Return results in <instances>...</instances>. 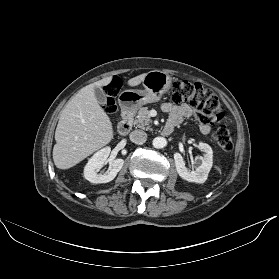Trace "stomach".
Wrapping results in <instances>:
<instances>
[{
    "label": "stomach",
    "instance_id": "0dacf381",
    "mask_svg": "<svg viewBox=\"0 0 279 279\" xmlns=\"http://www.w3.org/2000/svg\"><path fill=\"white\" fill-rule=\"evenodd\" d=\"M171 77L160 70L150 71L142 81L143 90H125L118 98L121 109L126 113H134L141 106L157 102L171 87Z\"/></svg>",
    "mask_w": 279,
    "mask_h": 279
}]
</instances>
